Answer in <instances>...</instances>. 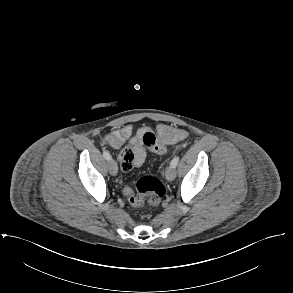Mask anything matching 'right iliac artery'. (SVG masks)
I'll use <instances>...</instances> for the list:
<instances>
[{"label":"right iliac artery","mask_w":293,"mask_h":293,"mask_svg":"<svg viewBox=\"0 0 293 293\" xmlns=\"http://www.w3.org/2000/svg\"><path fill=\"white\" fill-rule=\"evenodd\" d=\"M103 156H104V158H105L106 160H110V159H111V155H110V153H109L108 151H104V152H103Z\"/></svg>","instance_id":"right-iliac-artery-1"}]
</instances>
